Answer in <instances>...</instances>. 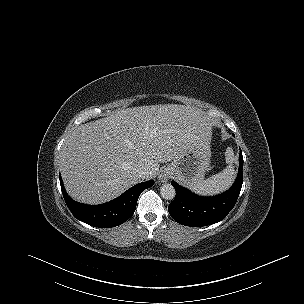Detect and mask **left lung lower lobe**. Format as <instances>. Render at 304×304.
I'll return each instance as SVG.
<instances>
[{"mask_svg":"<svg viewBox=\"0 0 304 304\" xmlns=\"http://www.w3.org/2000/svg\"><path fill=\"white\" fill-rule=\"evenodd\" d=\"M242 169L243 156L240 151L238 175L234 184L229 190L212 197L195 195L172 181L176 196L168 207L169 214L176 222L190 227L207 226L221 221L238 199L243 183Z\"/></svg>","mask_w":304,"mask_h":304,"instance_id":"0a47b994","label":"left lung lower lobe"}]
</instances>
